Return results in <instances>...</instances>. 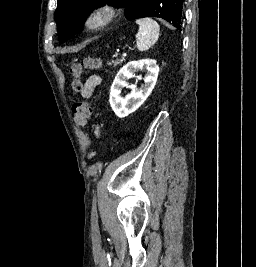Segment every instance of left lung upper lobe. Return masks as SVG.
Masks as SVG:
<instances>
[{"instance_id":"obj_1","label":"left lung upper lobe","mask_w":256,"mask_h":267,"mask_svg":"<svg viewBox=\"0 0 256 267\" xmlns=\"http://www.w3.org/2000/svg\"><path fill=\"white\" fill-rule=\"evenodd\" d=\"M55 19L58 26V39L65 42L74 36L93 8L103 4L120 3L126 7L129 20L142 17H159L176 24L175 0H57Z\"/></svg>"}]
</instances>
